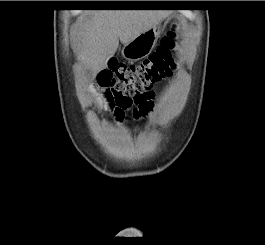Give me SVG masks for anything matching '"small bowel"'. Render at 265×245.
I'll return each instance as SVG.
<instances>
[{
    "label": "small bowel",
    "mask_w": 265,
    "mask_h": 245,
    "mask_svg": "<svg viewBox=\"0 0 265 245\" xmlns=\"http://www.w3.org/2000/svg\"><path fill=\"white\" fill-rule=\"evenodd\" d=\"M100 98H102V95L100 93H96ZM149 118H154L155 117V107L154 104L152 103L146 110Z\"/></svg>",
    "instance_id": "1"
}]
</instances>
